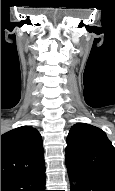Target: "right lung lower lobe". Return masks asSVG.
Here are the masks:
<instances>
[{"label": "right lung lower lobe", "instance_id": "1", "mask_svg": "<svg viewBox=\"0 0 115 191\" xmlns=\"http://www.w3.org/2000/svg\"><path fill=\"white\" fill-rule=\"evenodd\" d=\"M45 179V171L20 179H1V191H46Z\"/></svg>", "mask_w": 115, "mask_h": 191}]
</instances>
